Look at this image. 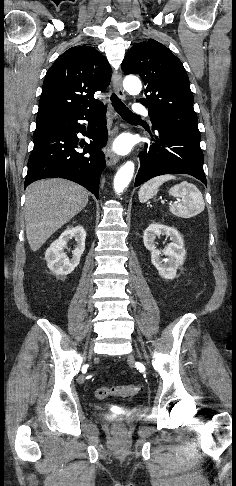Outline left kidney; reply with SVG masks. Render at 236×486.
<instances>
[{"mask_svg": "<svg viewBox=\"0 0 236 486\" xmlns=\"http://www.w3.org/2000/svg\"><path fill=\"white\" fill-rule=\"evenodd\" d=\"M158 235H166L171 239V243L162 252L155 246V239ZM143 241L146 249L151 252V262L159 275L164 279H174L177 269L184 263L186 254L179 232L173 227L152 223L145 230ZM162 254L167 258L162 259L160 257Z\"/></svg>", "mask_w": 236, "mask_h": 486, "instance_id": "left-kidney-1", "label": "left kidney"}]
</instances>
